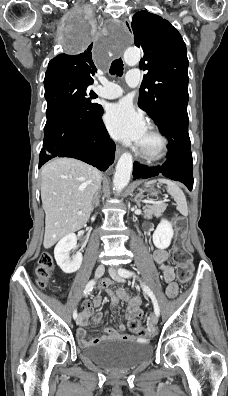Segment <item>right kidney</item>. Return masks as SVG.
I'll return each mask as SVG.
<instances>
[{"instance_id": "ca27d5eb", "label": "right kidney", "mask_w": 228, "mask_h": 396, "mask_svg": "<svg viewBox=\"0 0 228 396\" xmlns=\"http://www.w3.org/2000/svg\"><path fill=\"white\" fill-rule=\"evenodd\" d=\"M77 237L75 234H69L62 238L54 249V257L61 268V270L66 273L76 272L82 264V254L77 252L75 255L70 257V251L76 246Z\"/></svg>"}]
</instances>
